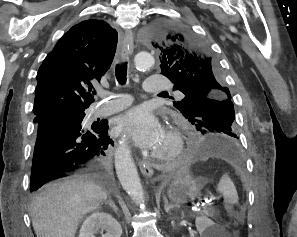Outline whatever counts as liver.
<instances>
[{"label":"liver","instance_id":"obj_1","mask_svg":"<svg viewBox=\"0 0 297 237\" xmlns=\"http://www.w3.org/2000/svg\"><path fill=\"white\" fill-rule=\"evenodd\" d=\"M107 196L89 176L76 175L44 186L30 205L36 237H75L86 214L100 208Z\"/></svg>","mask_w":297,"mask_h":237}]
</instances>
